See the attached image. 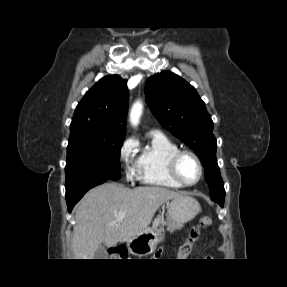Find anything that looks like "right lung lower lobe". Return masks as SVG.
Wrapping results in <instances>:
<instances>
[{
  "mask_svg": "<svg viewBox=\"0 0 287 287\" xmlns=\"http://www.w3.org/2000/svg\"><path fill=\"white\" fill-rule=\"evenodd\" d=\"M107 180H94L80 184L79 186L66 192V202L68 211L71 212L74 205L83 197V195L94 186L100 185Z\"/></svg>",
  "mask_w": 287,
  "mask_h": 287,
  "instance_id": "98d812e1",
  "label": "right lung lower lobe"
}]
</instances>
